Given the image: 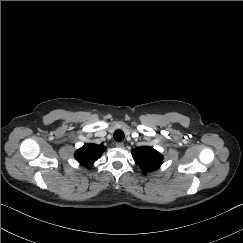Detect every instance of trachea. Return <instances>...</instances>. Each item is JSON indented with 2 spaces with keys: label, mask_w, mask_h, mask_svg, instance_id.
<instances>
[{
  "label": "trachea",
  "mask_w": 243,
  "mask_h": 243,
  "mask_svg": "<svg viewBox=\"0 0 243 243\" xmlns=\"http://www.w3.org/2000/svg\"><path fill=\"white\" fill-rule=\"evenodd\" d=\"M113 137H114L115 141L120 142V141H122L124 139L125 135H124L123 131L116 130L114 132Z\"/></svg>",
  "instance_id": "obj_1"
}]
</instances>
